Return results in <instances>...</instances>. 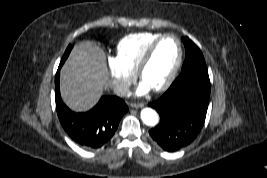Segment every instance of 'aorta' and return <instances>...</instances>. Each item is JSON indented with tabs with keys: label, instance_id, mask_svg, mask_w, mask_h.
<instances>
[{
	"label": "aorta",
	"instance_id": "1",
	"mask_svg": "<svg viewBox=\"0 0 267 178\" xmlns=\"http://www.w3.org/2000/svg\"><path fill=\"white\" fill-rule=\"evenodd\" d=\"M141 119L148 126H155L158 123V115L151 108H144L141 111Z\"/></svg>",
	"mask_w": 267,
	"mask_h": 178
}]
</instances>
